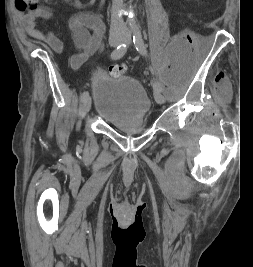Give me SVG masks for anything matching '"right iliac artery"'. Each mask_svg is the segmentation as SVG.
Masks as SVG:
<instances>
[{"instance_id": "obj_1", "label": "right iliac artery", "mask_w": 253, "mask_h": 267, "mask_svg": "<svg viewBox=\"0 0 253 267\" xmlns=\"http://www.w3.org/2000/svg\"><path fill=\"white\" fill-rule=\"evenodd\" d=\"M127 51V44L123 43L120 44L112 53H111V58L113 60L120 59L124 56V54ZM89 95L88 91H84L81 95V101H84V99Z\"/></svg>"}]
</instances>
